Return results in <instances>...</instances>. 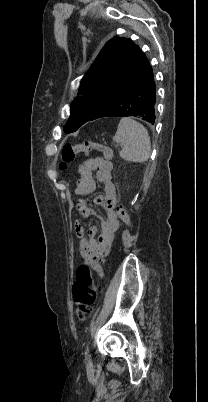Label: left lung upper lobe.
Here are the masks:
<instances>
[{
  "label": "left lung upper lobe",
  "mask_w": 208,
  "mask_h": 402,
  "mask_svg": "<svg viewBox=\"0 0 208 402\" xmlns=\"http://www.w3.org/2000/svg\"><path fill=\"white\" fill-rule=\"evenodd\" d=\"M144 57L130 39L115 37L109 40L80 83L64 131L74 132L84 123L97 119L137 74Z\"/></svg>",
  "instance_id": "5c2ea615"
}]
</instances>
